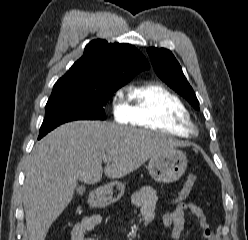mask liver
Here are the masks:
<instances>
[{
    "label": "liver",
    "instance_id": "liver-1",
    "mask_svg": "<svg viewBox=\"0 0 248 240\" xmlns=\"http://www.w3.org/2000/svg\"><path fill=\"white\" fill-rule=\"evenodd\" d=\"M162 134L100 121H75L36 143L26 166L23 204L29 240H45L73 198L78 180L122 178L152 156L183 146ZM110 159L104 170L102 162ZM105 162V161H104Z\"/></svg>",
    "mask_w": 248,
    "mask_h": 240
}]
</instances>
